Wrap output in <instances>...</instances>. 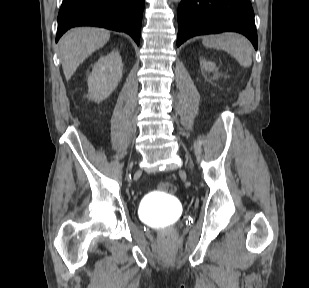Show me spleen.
Instances as JSON below:
<instances>
[{"label":"spleen","mask_w":309,"mask_h":288,"mask_svg":"<svg viewBox=\"0 0 309 288\" xmlns=\"http://www.w3.org/2000/svg\"><path fill=\"white\" fill-rule=\"evenodd\" d=\"M202 43L206 47L228 52L242 67L248 68L252 64V45L242 35L236 33L209 35L203 38Z\"/></svg>","instance_id":"obj_1"}]
</instances>
